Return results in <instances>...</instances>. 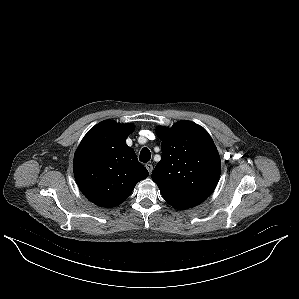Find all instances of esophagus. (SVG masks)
<instances>
[{
    "mask_svg": "<svg viewBox=\"0 0 299 299\" xmlns=\"http://www.w3.org/2000/svg\"><path fill=\"white\" fill-rule=\"evenodd\" d=\"M145 167H146V169L148 170L149 174H151L152 171H153V165L150 164V163H146V164H145Z\"/></svg>",
    "mask_w": 299,
    "mask_h": 299,
    "instance_id": "1",
    "label": "esophagus"
}]
</instances>
